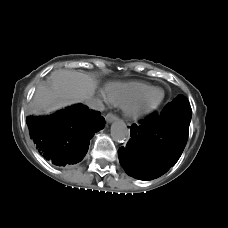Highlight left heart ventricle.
Returning <instances> with one entry per match:
<instances>
[{
    "mask_svg": "<svg viewBox=\"0 0 228 228\" xmlns=\"http://www.w3.org/2000/svg\"><path fill=\"white\" fill-rule=\"evenodd\" d=\"M161 96L160 91H152L148 95H146L142 101L144 105H153L156 103Z\"/></svg>",
    "mask_w": 228,
    "mask_h": 228,
    "instance_id": "obj_1",
    "label": "left heart ventricle"
}]
</instances>
